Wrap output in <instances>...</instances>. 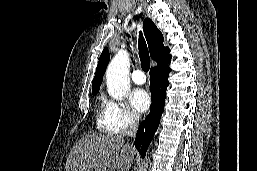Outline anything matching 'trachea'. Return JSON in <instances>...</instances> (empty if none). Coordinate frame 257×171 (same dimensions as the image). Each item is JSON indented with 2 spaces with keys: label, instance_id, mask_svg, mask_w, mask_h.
Instances as JSON below:
<instances>
[{
  "label": "trachea",
  "instance_id": "3493384b",
  "mask_svg": "<svg viewBox=\"0 0 257 171\" xmlns=\"http://www.w3.org/2000/svg\"><path fill=\"white\" fill-rule=\"evenodd\" d=\"M139 56L141 61V68L145 72H148L150 69V58H149L146 42L141 32L139 34Z\"/></svg>",
  "mask_w": 257,
  "mask_h": 171
}]
</instances>
